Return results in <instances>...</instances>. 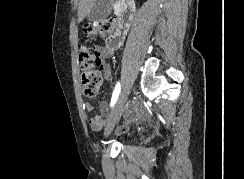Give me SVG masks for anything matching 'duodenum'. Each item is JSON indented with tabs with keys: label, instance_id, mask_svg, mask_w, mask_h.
I'll list each match as a JSON object with an SVG mask.
<instances>
[{
	"label": "duodenum",
	"instance_id": "obj_1",
	"mask_svg": "<svg viewBox=\"0 0 244 179\" xmlns=\"http://www.w3.org/2000/svg\"><path fill=\"white\" fill-rule=\"evenodd\" d=\"M136 2L133 0H120L118 1L117 8L115 11L116 17L119 21H121V32H119L115 36H110L108 38L109 44H114L118 40L122 39L124 35L127 33L129 24L133 20L134 14H135V6Z\"/></svg>",
	"mask_w": 244,
	"mask_h": 179
}]
</instances>
